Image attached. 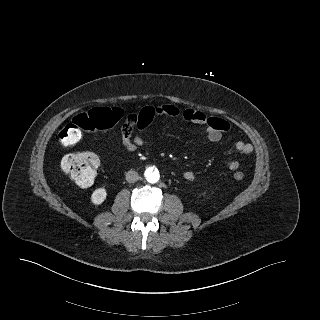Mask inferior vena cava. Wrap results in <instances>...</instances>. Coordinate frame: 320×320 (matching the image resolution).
<instances>
[{"instance_id": "obj_1", "label": "inferior vena cava", "mask_w": 320, "mask_h": 320, "mask_svg": "<svg viewBox=\"0 0 320 320\" xmlns=\"http://www.w3.org/2000/svg\"><path fill=\"white\" fill-rule=\"evenodd\" d=\"M126 180L129 183H135L139 180V175L136 171L130 170L126 173Z\"/></svg>"}]
</instances>
